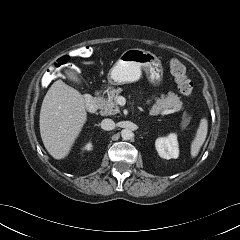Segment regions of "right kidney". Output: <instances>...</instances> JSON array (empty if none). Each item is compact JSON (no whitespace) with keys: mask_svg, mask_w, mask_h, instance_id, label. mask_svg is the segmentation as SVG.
<instances>
[{"mask_svg":"<svg viewBox=\"0 0 240 240\" xmlns=\"http://www.w3.org/2000/svg\"><path fill=\"white\" fill-rule=\"evenodd\" d=\"M92 143H87L86 145H85V147L83 148V150H87V151H90V150H92Z\"/></svg>","mask_w":240,"mask_h":240,"instance_id":"right-kidney-1","label":"right kidney"}]
</instances>
